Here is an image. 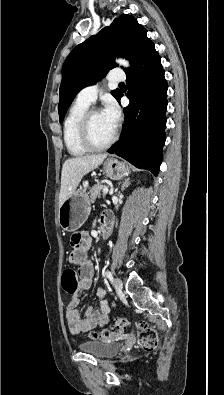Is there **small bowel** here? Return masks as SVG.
<instances>
[{
    "label": "small bowel",
    "instance_id": "c3829d8e",
    "mask_svg": "<svg viewBox=\"0 0 224 395\" xmlns=\"http://www.w3.org/2000/svg\"><path fill=\"white\" fill-rule=\"evenodd\" d=\"M73 250L70 252L69 261L79 266L80 281L77 292L70 298L66 308L65 317L67 325L73 334H78L102 326L108 323L110 316V305L106 298V292L98 286L95 295L99 300V307L95 309L88 305L81 315L79 305V292L88 290L92 285L93 264L87 258V252L91 246V238L87 232H77L71 237Z\"/></svg>",
    "mask_w": 224,
    "mask_h": 395
}]
</instances>
